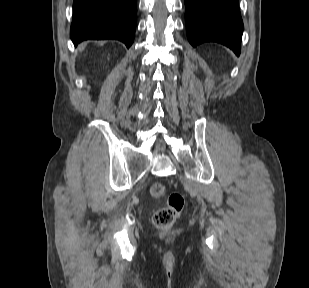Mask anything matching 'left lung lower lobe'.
<instances>
[{
	"instance_id": "left-lung-lower-lobe-1",
	"label": "left lung lower lobe",
	"mask_w": 309,
	"mask_h": 288,
	"mask_svg": "<svg viewBox=\"0 0 309 288\" xmlns=\"http://www.w3.org/2000/svg\"><path fill=\"white\" fill-rule=\"evenodd\" d=\"M239 0H185L187 37L193 47L218 42L239 56L243 22Z\"/></svg>"
}]
</instances>
